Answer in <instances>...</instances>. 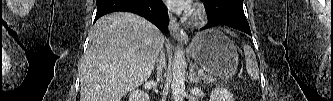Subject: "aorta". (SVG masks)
I'll return each instance as SVG.
<instances>
[{"label":"aorta","mask_w":333,"mask_h":101,"mask_svg":"<svg viewBox=\"0 0 333 101\" xmlns=\"http://www.w3.org/2000/svg\"><path fill=\"white\" fill-rule=\"evenodd\" d=\"M185 54L182 47L178 46L173 59L172 70V96L174 101H183L185 95Z\"/></svg>","instance_id":"obj_1"}]
</instances>
